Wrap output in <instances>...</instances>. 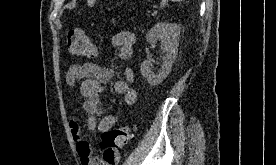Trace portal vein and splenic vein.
<instances>
[{
  "mask_svg": "<svg viewBox=\"0 0 276 165\" xmlns=\"http://www.w3.org/2000/svg\"><path fill=\"white\" fill-rule=\"evenodd\" d=\"M162 5V4H161ZM153 14H157V11H154V13Z\"/></svg>",
  "mask_w": 276,
  "mask_h": 165,
  "instance_id": "obj_1",
  "label": "portal vein and splenic vein"
}]
</instances>
